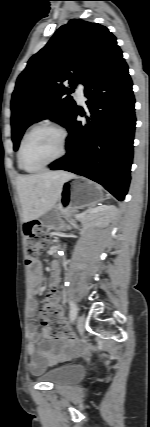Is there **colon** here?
Listing matches in <instances>:
<instances>
[{
    "label": "colon",
    "mask_w": 150,
    "mask_h": 427,
    "mask_svg": "<svg viewBox=\"0 0 150 427\" xmlns=\"http://www.w3.org/2000/svg\"><path fill=\"white\" fill-rule=\"evenodd\" d=\"M24 233L27 239L26 261L31 265L36 263L40 251L49 240V236L38 221L26 223ZM39 315L42 325L50 336L68 337V329L58 304V296L54 290L47 294Z\"/></svg>",
    "instance_id": "colon-1"
}]
</instances>
